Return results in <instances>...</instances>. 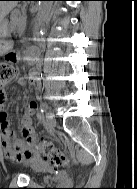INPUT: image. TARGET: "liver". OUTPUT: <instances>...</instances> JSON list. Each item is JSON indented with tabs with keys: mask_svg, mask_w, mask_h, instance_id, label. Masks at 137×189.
I'll list each match as a JSON object with an SVG mask.
<instances>
[{
	"mask_svg": "<svg viewBox=\"0 0 137 189\" xmlns=\"http://www.w3.org/2000/svg\"><path fill=\"white\" fill-rule=\"evenodd\" d=\"M17 5V1H0V26L4 22V18Z\"/></svg>",
	"mask_w": 137,
	"mask_h": 189,
	"instance_id": "liver-1",
	"label": "liver"
}]
</instances>
